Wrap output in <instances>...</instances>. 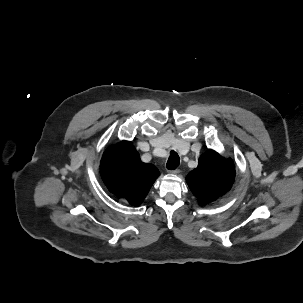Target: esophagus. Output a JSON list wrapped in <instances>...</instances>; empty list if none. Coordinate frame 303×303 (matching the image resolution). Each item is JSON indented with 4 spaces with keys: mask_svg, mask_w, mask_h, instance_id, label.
<instances>
[{
    "mask_svg": "<svg viewBox=\"0 0 303 303\" xmlns=\"http://www.w3.org/2000/svg\"><path fill=\"white\" fill-rule=\"evenodd\" d=\"M170 173H172V174H179L180 170L179 169L171 170Z\"/></svg>",
    "mask_w": 303,
    "mask_h": 303,
    "instance_id": "obj_1",
    "label": "esophagus"
}]
</instances>
